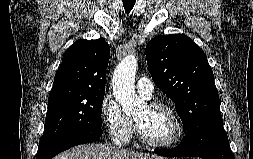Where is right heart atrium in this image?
<instances>
[{"label": "right heart atrium", "instance_id": "d8ad5b80", "mask_svg": "<svg viewBox=\"0 0 253 159\" xmlns=\"http://www.w3.org/2000/svg\"><path fill=\"white\" fill-rule=\"evenodd\" d=\"M100 116L108 137L117 144H128L134 132L133 120L127 116L120 104L107 95L100 106Z\"/></svg>", "mask_w": 253, "mask_h": 159}]
</instances>
